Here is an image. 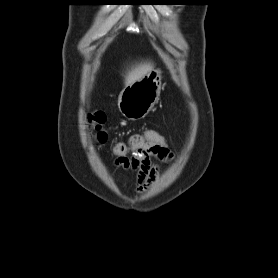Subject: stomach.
I'll return each instance as SVG.
<instances>
[{
    "instance_id": "obj_1",
    "label": "stomach",
    "mask_w": 278,
    "mask_h": 278,
    "mask_svg": "<svg viewBox=\"0 0 278 278\" xmlns=\"http://www.w3.org/2000/svg\"><path fill=\"white\" fill-rule=\"evenodd\" d=\"M161 80V71L153 69L127 85L118 97V108L122 115L133 121L145 118L159 100Z\"/></svg>"
}]
</instances>
